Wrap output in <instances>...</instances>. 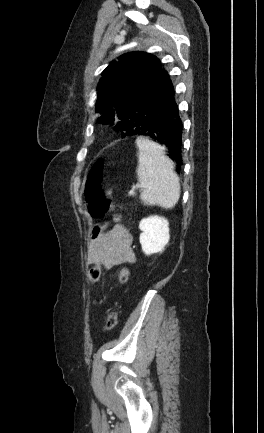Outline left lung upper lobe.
<instances>
[{"mask_svg": "<svg viewBox=\"0 0 264 433\" xmlns=\"http://www.w3.org/2000/svg\"><path fill=\"white\" fill-rule=\"evenodd\" d=\"M162 71L160 60L146 52H130L112 61L102 72L97 88L99 123H113L117 117L121 121L138 96ZM120 121L115 128L126 137Z\"/></svg>", "mask_w": 264, "mask_h": 433, "instance_id": "1", "label": "left lung upper lobe"}]
</instances>
